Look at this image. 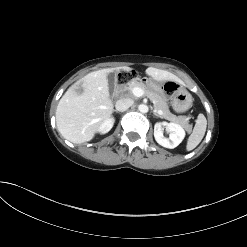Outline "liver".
Returning <instances> with one entry per match:
<instances>
[{"instance_id": "obj_1", "label": "liver", "mask_w": 247, "mask_h": 247, "mask_svg": "<svg viewBox=\"0 0 247 247\" xmlns=\"http://www.w3.org/2000/svg\"><path fill=\"white\" fill-rule=\"evenodd\" d=\"M131 71L130 67L107 68L91 72L72 85L60 99L56 109V125L59 133L73 143L93 139L101 123L113 112L107 74L114 71ZM146 74L157 82L175 81L183 84L176 75L153 67ZM82 87L79 94L77 89Z\"/></svg>"}]
</instances>
